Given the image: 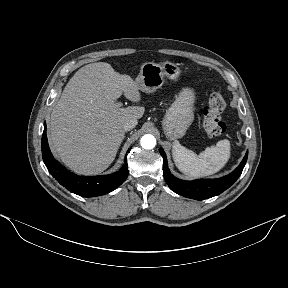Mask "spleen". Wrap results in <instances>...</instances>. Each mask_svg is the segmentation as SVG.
<instances>
[{"mask_svg":"<svg viewBox=\"0 0 288 288\" xmlns=\"http://www.w3.org/2000/svg\"><path fill=\"white\" fill-rule=\"evenodd\" d=\"M172 156L177 168L190 177H206L220 171L230 158L229 140H220L196 155L192 150L175 141Z\"/></svg>","mask_w":288,"mask_h":288,"instance_id":"3e777b00","label":"spleen"}]
</instances>
